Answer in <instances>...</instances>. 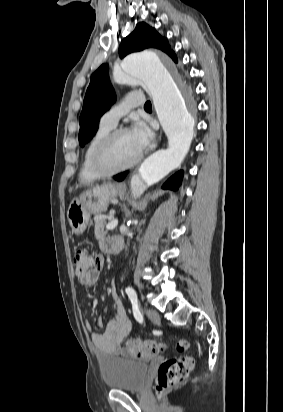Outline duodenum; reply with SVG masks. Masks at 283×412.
Here are the masks:
<instances>
[{
    "instance_id": "410a0bca",
    "label": "duodenum",
    "mask_w": 283,
    "mask_h": 412,
    "mask_svg": "<svg viewBox=\"0 0 283 412\" xmlns=\"http://www.w3.org/2000/svg\"><path fill=\"white\" fill-rule=\"evenodd\" d=\"M121 246H122L121 240L116 238V240L112 243L110 250L112 253H118L121 249Z\"/></svg>"
}]
</instances>
